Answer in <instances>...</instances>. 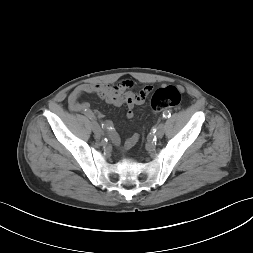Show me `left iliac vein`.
I'll list each match as a JSON object with an SVG mask.
<instances>
[{
	"mask_svg": "<svg viewBox=\"0 0 253 253\" xmlns=\"http://www.w3.org/2000/svg\"><path fill=\"white\" fill-rule=\"evenodd\" d=\"M164 131H165L164 124L163 123L159 124L156 131V137L162 138L164 135Z\"/></svg>",
	"mask_w": 253,
	"mask_h": 253,
	"instance_id": "4c4485c4",
	"label": "left iliac vein"
}]
</instances>
